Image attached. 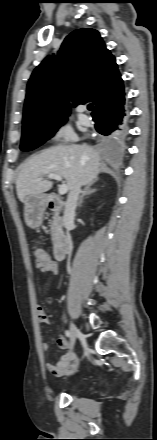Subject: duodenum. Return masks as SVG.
<instances>
[{"label": "duodenum", "mask_w": 157, "mask_h": 440, "mask_svg": "<svg viewBox=\"0 0 157 440\" xmlns=\"http://www.w3.org/2000/svg\"><path fill=\"white\" fill-rule=\"evenodd\" d=\"M64 206V201L56 196L49 198L48 207L52 210H60ZM71 238L68 235L59 237L53 247V254L56 260H62L69 252Z\"/></svg>", "instance_id": "1"}]
</instances>
